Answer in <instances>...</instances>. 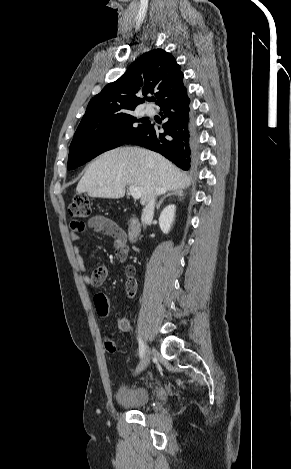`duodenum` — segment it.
<instances>
[{
  "label": "duodenum",
  "mask_w": 291,
  "mask_h": 469,
  "mask_svg": "<svg viewBox=\"0 0 291 469\" xmlns=\"http://www.w3.org/2000/svg\"><path fill=\"white\" fill-rule=\"evenodd\" d=\"M140 232V222L136 217H131L129 221L128 239L133 242Z\"/></svg>",
  "instance_id": "1"
}]
</instances>
